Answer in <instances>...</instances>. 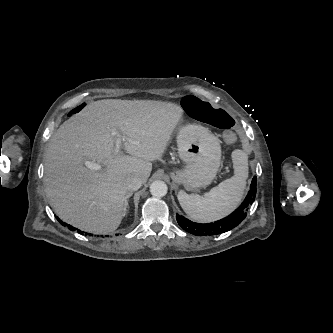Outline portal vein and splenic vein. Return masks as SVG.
Segmentation results:
<instances>
[{"label": "portal vein and splenic vein", "instance_id": "obj_1", "mask_svg": "<svg viewBox=\"0 0 333 333\" xmlns=\"http://www.w3.org/2000/svg\"><path fill=\"white\" fill-rule=\"evenodd\" d=\"M114 135L117 137V139H116V149H115V152L117 153L120 149L121 142H120V138H119L118 133L114 132ZM85 166L89 169H92V170H100L102 168L100 164L95 163V162H91V161H86Z\"/></svg>", "mask_w": 333, "mask_h": 333}]
</instances>
